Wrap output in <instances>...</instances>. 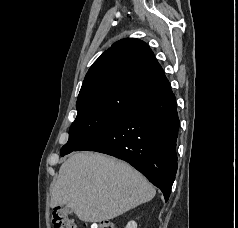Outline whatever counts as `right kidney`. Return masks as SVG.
<instances>
[{"label":"right kidney","instance_id":"1","mask_svg":"<svg viewBox=\"0 0 238 228\" xmlns=\"http://www.w3.org/2000/svg\"><path fill=\"white\" fill-rule=\"evenodd\" d=\"M125 228H137V223L135 221H130Z\"/></svg>","mask_w":238,"mask_h":228}]
</instances>
